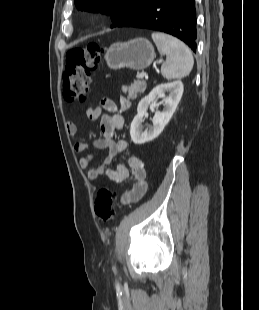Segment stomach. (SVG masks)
Returning <instances> with one entry per match:
<instances>
[{
	"label": "stomach",
	"mask_w": 259,
	"mask_h": 310,
	"mask_svg": "<svg viewBox=\"0 0 259 310\" xmlns=\"http://www.w3.org/2000/svg\"><path fill=\"white\" fill-rule=\"evenodd\" d=\"M154 58V47L144 38L114 43L105 53L106 63L113 70L122 68L143 70L152 63Z\"/></svg>",
	"instance_id": "stomach-1"
}]
</instances>
